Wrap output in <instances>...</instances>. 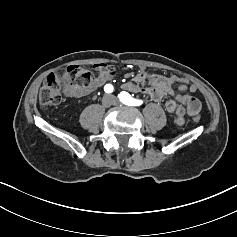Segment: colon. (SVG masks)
I'll use <instances>...</instances> for the list:
<instances>
[{
  "mask_svg": "<svg viewBox=\"0 0 237 237\" xmlns=\"http://www.w3.org/2000/svg\"><path fill=\"white\" fill-rule=\"evenodd\" d=\"M94 76L89 70L80 66L68 67L62 76L49 74L39 92V103L41 107L58 105L62 101L61 90L65 85L74 89H85L92 85ZM194 122L200 121L198 113L193 115Z\"/></svg>",
  "mask_w": 237,
  "mask_h": 237,
  "instance_id": "colon-1",
  "label": "colon"
}]
</instances>
